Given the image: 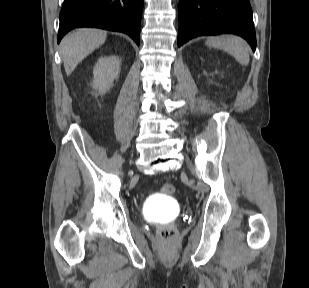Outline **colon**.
I'll return each instance as SVG.
<instances>
[{
    "instance_id": "colon-1",
    "label": "colon",
    "mask_w": 309,
    "mask_h": 288,
    "mask_svg": "<svg viewBox=\"0 0 309 288\" xmlns=\"http://www.w3.org/2000/svg\"><path fill=\"white\" fill-rule=\"evenodd\" d=\"M161 191L163 194L172 195L175 192V187L171 184H163L161 186ZM176 235V230L172 225H164L159 232V237L163 241L172 240Z\"/></svg>"
}]
</instances>
